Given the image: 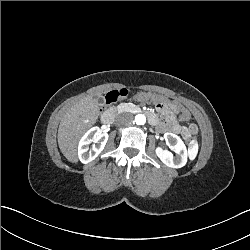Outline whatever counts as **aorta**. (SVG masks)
I'll use <instances>...</instances> for the list:
<instances>
[{
  "mask_svg": "<svg viewBox=\"0 0 250 250\" xmlns=\"http://www.w3.org/2000/svg\"><path fill=\"white\" fill-rule=\"evenodd\" d=\"M135 123L137 125H144L146 123V116L144 114H137L135 116Z\"/></svg>",
  "mask_w": 250,
  "mask_h": 250,
  "instance_id": "762f6f07",
  "label": "aorta"
}]
</instances>
